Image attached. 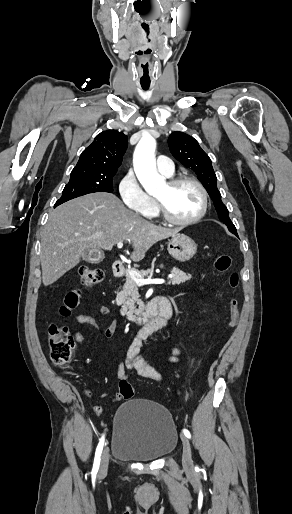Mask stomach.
Wrapping results in <instances>:
<instances>
[{
  "label": "stomach",
  "mask_w": 292,
  "mask_h": 514,
  "mask_svg": "<svg viewBox=\"0 0 292 514\" xmlns=\"http://www.w3.org/2000/svg\"><path fill=\"white\" fill-rule=\"evenodd\" d=\"M167 250L170 256L178 262H187L196 254L197 244L185 234H177L172 240H169Z\"/></svg>",
  "instance_id": "obj_1"
}]
</instances>
